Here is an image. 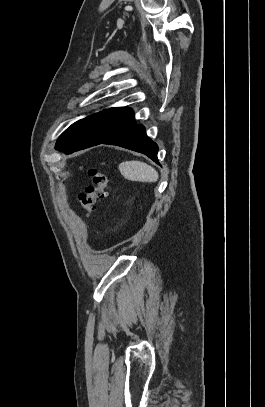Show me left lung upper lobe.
<instances>
[{
  "label": "left lung upper lobe",
  "instance_id": "obj_1",
  "mask_svg": "<svg viewBox=\"0 0 265 407\" xmlns=\"http://www.w3.org/2000/svg\"><path fill=\"white\" fill-rule=\"evenodd\" d=\"M134 123V114L130 108L105 109L68 127L57 140L55 148L89 147L106 141Z\"/></svg>",
  "mask_w": 265,
  "mask_h": 407
}]
</instances>
